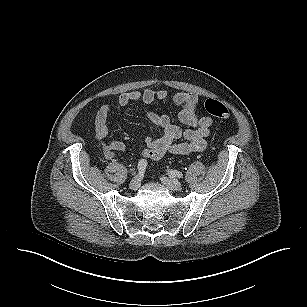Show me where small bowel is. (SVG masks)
<instances>
[{"mask_svg": "<svg viewBox=\"0 0 307 307\" xmlns=\"http://www.w3.org/2000/svg\"><path fill=\"white\" fill-rule=\"evenodd\" d=\"M179 108L180 121L188 126L186 130L174 125L167 115L159 114L153 110L147 111L150 121L161 130L159 137H146L145 148L142 155L146 159L158 161L167 154L188 155L200 152L206 147V138L213 125L210 116H198V97L188 92H177L172 97L163 89L147 88L143 91L133 90L121 93L118 99L120 106H126L134 102L151 104L154 101L167 103L168 101ZM110 112L108 105L99 108L95 116V135L99 140H103L108 134L107 120ZM180 139H182L180 141ZM102 151L106 158H111L116 152L123 151L125 144L120 140L101 142Z\"/></svg>", "mask_w": 307, "mask_h": 307, "instance_id": "1", "label": "small bowel"}]
</instances>
